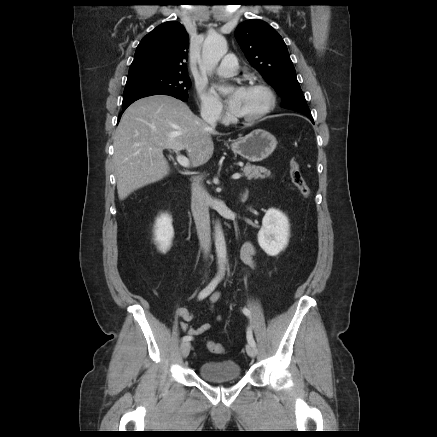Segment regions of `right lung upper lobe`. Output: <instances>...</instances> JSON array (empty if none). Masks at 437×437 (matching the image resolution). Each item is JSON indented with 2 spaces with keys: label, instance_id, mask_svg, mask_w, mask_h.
<instances>
[{
  "label": "right lung upper lobe",
  "instance_id": "obj_1",
  "mask_svg": "<svg viewBox=\"0 0 437 437\" xmlns=\"http://www.w3.org/2000/svg\"><path fill=\"white\" fill-rule=\"evenodd\" d=\"M188 48L189 36L183 25L176 21L165 22L141 40L129 72L188 74Z\"/></svg>",
  "mask_w": 437,
  "mask_h": 437
}]
</instances>
